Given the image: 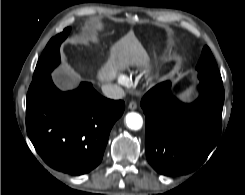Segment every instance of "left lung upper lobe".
Returning <instances> with one entry per match:
<instances>
[{
	"label": "left lung upper lobe",
	"mask_w": 245,
	"mask_h": 195,
	"mask_svg": "<svg viewBox=\"0 0 245 195\" xmlns=\"http://www.w3.org/2000/svg\"><path fill=\"white\" fill-rule=\"evenodd\" d=\"M201 82H210L222 86V78L210 49L205 46L196 66Z\"/></svg>",
	"instance_id": "obj_1"
}]
</instances>
